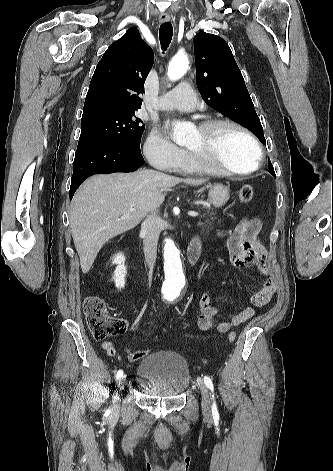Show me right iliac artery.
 Wrapping results in <instances>:
<instances>
[{"label": "right iliac artery", "mask_w": 333, "mask_h": 471, "mask_svg": "<svg viewBox=\"0 0 333 471\" xmlns=\"http://www.w3.org/2000/svg\"><path fill=\"white\" fill-rule=\"evenodd\" d=\"M123 376V371L122 370H119L116 374V379H119Z\"/></svg>", "instance_id": "right-iliac-artery-1"}]
</instances>
